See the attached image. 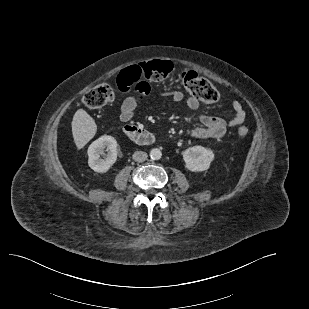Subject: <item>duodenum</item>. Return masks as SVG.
Here are the masks:
<instances>
[{
    "label": "duodenum",
    "instance_id": "1",
    "mask_svg": "<svg viewBox=\"0 0 309 309\" xmlns=\"http://www.w3.org/2000/svg\"><path fill=\"white\" fill-rule=\"evenodd\" d=\"M124 132L130 140L140 145H150L154 142L153 134L143 128L129 125L125 127Z\"/></svg>",
    "mask_w": 309,
    "mask_h": 309
}]
</instances>
